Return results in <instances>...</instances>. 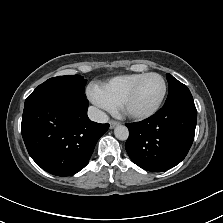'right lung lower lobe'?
Here are the masks:
<instances>
[{
    "label": "right lung lower lobe",
    "mask_w": 223,
    "mask_h": 223,
    "mask_svg": "<svg viewBox=\"0 0 223 223\" xmlns=\"http://www.w3.org/2000/svg\"><path fill=\"white\" fill-rule=\"evenodd\" d=\"M89 102L63 96L24 105L21 133L29 155L46 172L70 176L88 163L109 124L87 116Z\"/></svg>",
    "instance_id": "obj_1"
}]
</instances>
